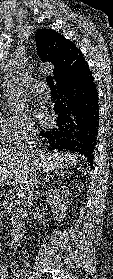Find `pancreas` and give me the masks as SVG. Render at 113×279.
<instances>
[{"mask_svg": "<svg viewBox=\"0 0 113 279\" xmlns=\"http://www.w3.org/2000/svg\"><path fill=\"white\" fill-rule=\"evenodd\" d=\"M3 208L11 213V225L17 226L22 224L24 217V205L22 197L15 192L8 193L3 200Z\"/></svg>", "mask_w": 113, "mask_h": 279, "instance_id": "obj_1", "label": "pancreas"}]
</instances>
